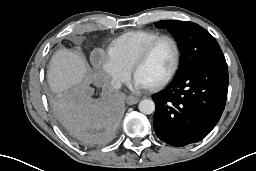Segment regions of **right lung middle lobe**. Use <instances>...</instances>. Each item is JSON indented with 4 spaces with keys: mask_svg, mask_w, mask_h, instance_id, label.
Here are the masks:
<instances>
[{
    "mask_svg": "<svg viewBox=\"0 0 256 171\" xmlns=\"http://www.w3.org/2000/svg\"><path fill=\"white\" fill-rule=\"evenodd\" d=\"M75 96V93H70V99Z\"/></svg>",
    "mask_w": 256,
    "mask_h": 171,
    "instance_id": "1",
    "label": "right lung middle lobe"
}]
</instances>
